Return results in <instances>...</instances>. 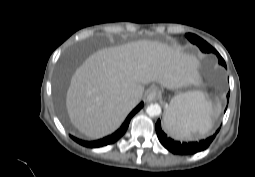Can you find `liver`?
Returning a JSON list of instances; mask_svg holds the SVG:
<instances>
[{
    "label": "liver",
    "mask_w": 255,
    "mask_h": 177,
    "mask_svg": "<svg viewBox=\"0 0 255 177\" xmlns=\"http://www.w3.org/2000/svg\"><path fill=\"white\" fill-rule=\"evenodd\" d=\"M198 81L195 61L180 48L139 40L90 55L71 78L66 107L81 133L99 139L119 128L135 107L129 98L139 102L145 84L157 82L174 90Z\"/></svg>",
    "instance_id": "obj_1"
}]
</instances>
